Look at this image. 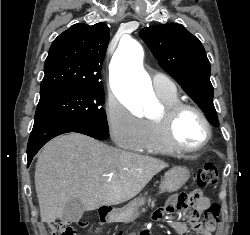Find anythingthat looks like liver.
<instances>
[{
	"mask_svg": "<svg viewBox=\"0 0 250 235\" xmlns=\"http://www.w3.org/2000/svg\"><path fill=\"white\" fill-rule=\"evenodd\" d=\"M168 164L103 144L89 136L69 133L51 140L38 157L35 188L43 222L63 215L78 198L84 211L117 205L137 194Z\"/></svg>",
	"mask_w": 250,
	"mask_h": 235,
	"instance_id": "6515ba94",
	"label": "liver"
}]
</instances>
